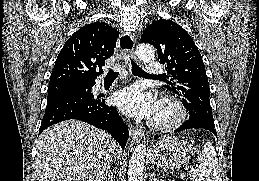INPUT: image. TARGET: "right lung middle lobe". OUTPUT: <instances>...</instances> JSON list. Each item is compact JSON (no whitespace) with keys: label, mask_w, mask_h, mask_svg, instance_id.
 <instances>
[{"label":"right lung middle lobe","mask_w":259,"mask_h":181,"mask_svg":"<svg viewBox=\"0 0 259 181\" xmlns=\"http://www.w3.org/2000/svg\"><path fill=\"white\" fill-rule=\"evenodd\" d=\"M78 89H87V87L80 83H65V84L50 85L48 87L47 101L63 93H66L72 90H78Z\"/></svg>","instance_id":"1"}]
</instances>
